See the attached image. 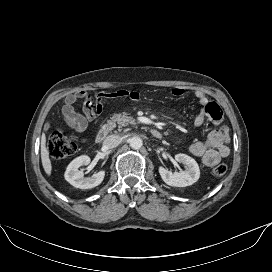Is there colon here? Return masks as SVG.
Here are the masks:
<instances>
[{"instance_id": "5ec220e1", "label": "colon", "mask_w": 272, "mask_h": 272, "mask_svg": "<svg viewBox=\"0 0 272 272\" xmlns=\"http://www.w3.org/2000/svg\"><path fill=\"white\" fill-rule=\"evenodd\" d=\"M48 150L50 155L55 159H64L73 155L76 151V143L74 139L68 137L61 131H54L48 139ZM227 171V166L224 163H219L212 169V174L215 177L223 176Z\"/></svg>"}]
</instances>
